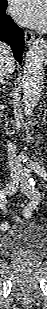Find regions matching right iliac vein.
Masks as SVG:
<instances>
[{"label": "right iliac vein", "instance_id": "right-iliac-vein-1", "mask_svg": "<svg viewBox=\"0 0 47 309\" xmlns=\"http://www.w3.org/2000/svg\"><path fill=\"white\" fill-rule=\"evenodd\" d=\"M18 187V179L12 178L5 186L4 192L7 195H12ZM4 230V229H3ZM6 230V229H5Z\"/></svg>", "mask_w": 47, "mask_h": 309}]
</instances>
